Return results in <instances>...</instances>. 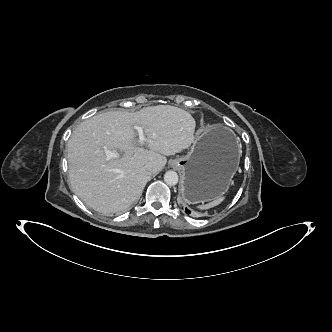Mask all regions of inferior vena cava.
Listing matches in <instances>:
<instances>
[{
    "label": "inferior vena cava",
    "mask_w": 332,
    "mask_h": 332,
    "mask_svg": "<svg viewBox=\"0 0 332 332\" xmlns=\"http://www.w3.org/2000/svg\"><path fill=\"white\" fill-rule=\"evenodd\" d=\"M145 169H146L147 171H152V169H153V164H152V163H147V164L145 165Z\"/></svg>",
    "instance_id": "602c4592"
}]
</instances>
